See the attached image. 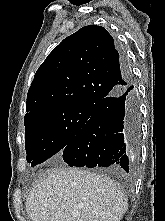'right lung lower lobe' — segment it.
Returning a JSON list of instances; mask_svg holds the SVG:
<instances>
[{
    "label": "right lung lower lobe",
    "mask_w": 165,
    "mask_h": 221,
    "mask_svg": "<svg viewBox=\"0 0 165 221\" xmlns=\"http://www.w3.org/2000/svg\"><path fill=\"white\" fill-rule=\"evenodd\" d=\"M139 140V105L130 81L93 105L89 120L63 149V160L77 167L118 166L128 173Z\"/></svg>",
    "instance_id": "right-lung-lower-lobe-1"
}]
</instances>
